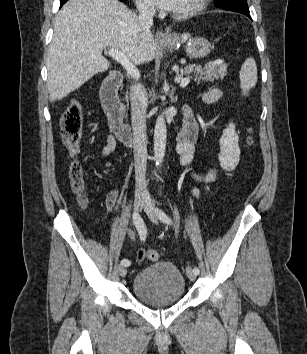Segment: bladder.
Instances as JSON below:
<instances>
[{
  "label": "bladder",
  "mask_w": 307,
  "mask_h": 354,
  "mask_svg": "<svg viewBox=\"0 0 307 354\" xmlns=\"http://www.w3.org/2000/svg\"><path fill=\"white\" fill-rule=\"evenodd\" d=\"M185 278L169 261H158L139 270L132 283L134 295L143 303L162 307L177 303L185 294Z\"/></svg>",
  "instance_id": "obj_1"
}]
</instances>
